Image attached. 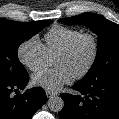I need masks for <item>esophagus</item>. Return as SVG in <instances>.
<instances>
[{"mask_svg": "<svg viewBox=\"0 0 119 119\" xmlns=\"http://www.w3.org/2000/svg\"><path fill=\"white\" fill-rule=\"evenodd\" d=\"M46 95H47L48 98H51V97L56 96L57 93H55V92H51V91H46Z\"/></svg>", "mask_w": 119, "mask_h": 119, "instance_id": "esophagus-1", "label": "esophagus"}]
</instances>
